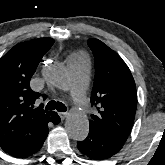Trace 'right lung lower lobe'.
Wrapping results in <instances>:
<instances>
[{"label":"right lung lower lobe","mask_w":165,"mask_h":165,"mask_svg":"<svg viewBox=\"0 0 165 165\" xmlns=\"http://www.w3.org/2000/svg\"><path fill=\"white\" fill-rule=\"evenodd\" d=\"M59 122L60 117L56 113L49 123L58 124ZM48 132L49 130L47 125L39 134L20 141L15 147L6 152L17 158L28 157L36 153L42 147Z\"/></svg>","instance_id":"obj_1"}]
</instances>
